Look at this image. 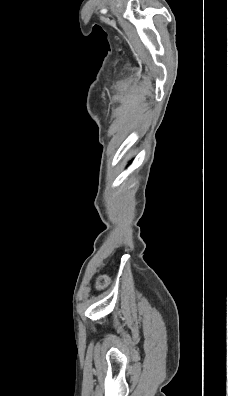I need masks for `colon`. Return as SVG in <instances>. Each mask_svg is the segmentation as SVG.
Returning a JSON list of instances; mask_svg holds the SVG:
<instances>
[{"mask_svg": "<svg viewBox=\"0 0 228 396\" xmlns=\"http://www.w3.org/2000/svg\"><path fill=\"white\" fill-rule=\"evenodd\" d=\"M107 283H108V278L105 275H101L97 279L96 286L98 288H103L107 285Z\"/></svg>", "mask_w": 228, "mask_h": 396, "instance_id": "1", "label": "colon"}]
</instances>
